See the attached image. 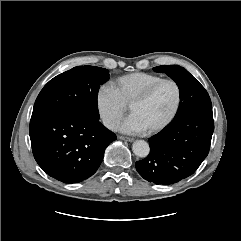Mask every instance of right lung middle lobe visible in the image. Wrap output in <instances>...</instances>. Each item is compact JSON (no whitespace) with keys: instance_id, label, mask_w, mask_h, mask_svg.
I'll list each match as a JSON object with an SVG mask.
<instances>
[{"instance_id":"obj_1","label":"right lung middle lobe","mask_w":241,"mask_h":241,"mask_svg":"<svg viewBox=\"0 0 241 241\" xmlns=\"http://www.w3.org/2000/svg\"><path fill=\"white\" fill-rule=\"evenodd\" d=\"M109 71L96 66H77L51 79L39 93L32 116L74 112L99 120L97 95Z\"/></svg>"}]
</instances>
